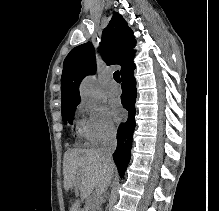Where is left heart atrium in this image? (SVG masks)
<instances>
[{
  "label": "left heart atrium",
  "instance_id": "obj_1",
  "mask_svg": "<svg viewBox=\"0 0 219 211\" xmlns=\"http://www.w3.org/2000/svg\"><path fill=\"white\" fill-rule=\"evenodd\" d=\"M112 113L116 121H121L125 117L124 110L117 104L113 105Z\"/></svg>",
  "mask_w": 219,
  "mask_h": 211
}]
</instances>
